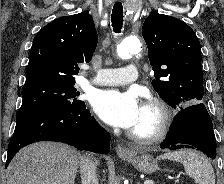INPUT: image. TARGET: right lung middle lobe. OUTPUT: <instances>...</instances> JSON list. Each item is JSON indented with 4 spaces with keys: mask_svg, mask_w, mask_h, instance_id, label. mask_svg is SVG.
<instances>
[{
    "mask_svg": "<svg viewBox=\"0 0 224 184\" xmlns=\"http://www.w3.org/2000/svg\"><path fill=\"white\" fill-rule=\"evenodd\" d=\"M75 83H60L54 81H35L27 83L22 88V105L16 121L29 113L46 110H76L85 103L76 97L79 93L74 88Z\"/></svg>",
    "mask_w": 224,
    "mask_h": 184,
    "instance_id": "1",
    "label": "right lung middle lobe"
}]
</instances>
